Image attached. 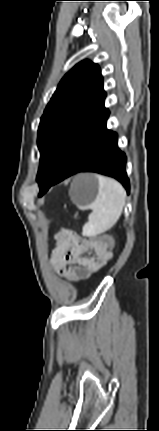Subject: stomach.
<instances>
[{"instance_id":"0dacf381","label":"stomach","mask_w":159,"mask_h":431,"mask_svg":"<svg viewBox=\"0 0 159 431\" xmlns=\"http://www.w3.org/2000/svg\"><path fill=\"white\" fill-rule=\"evenodd\" d=\"M98 192L99 181L92 173L77 175L70 188L72 201L81 208H88L96 200Z\"/></svg>"}]
</instances>
